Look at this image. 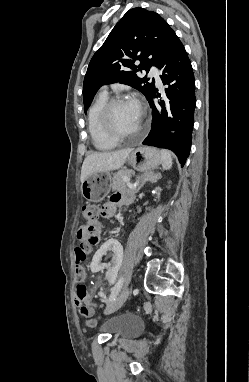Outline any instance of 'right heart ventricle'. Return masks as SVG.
I'll use <instances>...</instances> for the list:
<instances>
[{"label":"right heart ventricle","mask_w":249,"mask_h":382,"mask_svg":"<svg viewBox=\"0 0 249 382\" xmlns=\"http://www.w3.org/2000/svg\"><path fill=\"white\" fill-rule=\"evenodd\" d=\"M108 100L106 93L99 94L92 103L88 113V129L92 143L98 150H111L117 145V141L111 140L104 133L101 126V111Z\"/></svg>","instance_id":"1"}]
</instances>
